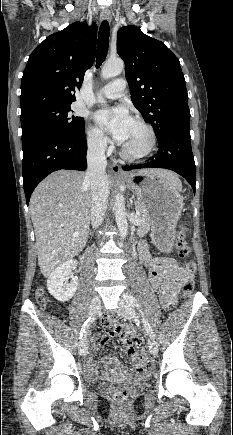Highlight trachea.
I'll list each match as a JSON object with an SVG mask.
<instances>
[{"mask_svg": "<svg viewBox=\"0 0 233 435\" xmlns=\"http://www.w3.org/2000/svg\"><path fill=\"white\" fill-rule=\"evenodd\" d=\"M109 30L108 22L103 21L98 33L96 68H99L107 56L110 36Z\"/></svg>", "mask_w": 233, "mask_h": 435, "instance_id": "trachea-1", "label": "trachea"}]
</instances>
